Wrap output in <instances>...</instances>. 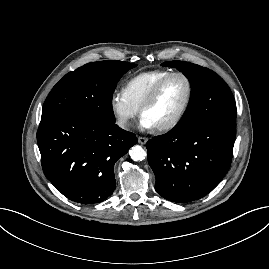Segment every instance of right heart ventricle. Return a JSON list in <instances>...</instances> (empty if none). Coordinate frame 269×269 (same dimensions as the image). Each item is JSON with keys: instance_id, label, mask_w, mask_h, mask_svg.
Listing matches in <instances>:
<instances>
[{"instance_id": "obj_1", "label": "right heart ventricle", "mask_w": 269, "mask_h": 269, "mask_svg": "<svg viewBox=\"0 0 269 269\" xmlns=\"http://www.w3.org/2000/svg\"><path fill=\"white\" fill-rule=\"evenodd\" d=\"M170 73L168 70L141 72L125 83L124 92L132 105L139 110L153 87Z\"/></svg>"}]
</instances>
